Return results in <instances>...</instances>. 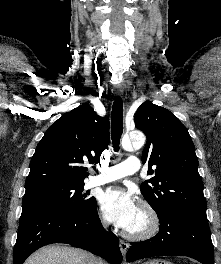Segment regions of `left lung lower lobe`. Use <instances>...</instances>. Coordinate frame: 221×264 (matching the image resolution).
<instances>
[{"instance_id": "1", "label": "left lung lower lobe", "mask_w": 221, "mask_h": 264, "mask_svg": "<svg viewBox=\"0 0 221 264\" xmlns=\"http://www.w3.org/2000/svg\"><path fill=\"white\" fill-rule=\"evenodd\" d=\"M159 233L131 243L126 258L132 262L155 256H188L214 264V250L206 211H169L158 216Z\"/></svg>"}]
</instances>
